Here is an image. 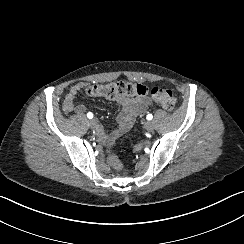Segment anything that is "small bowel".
Instances as JSON below:
<instances>
[{
    "instance_id": "obj_1",
    "label": "small bowel",
    "mask_w": 244,
    "mask_h": 244,
    "mask_svg": "<svg viewBox=\"0 0 244 244\" xmlns=\"http://www.w3.org/2000/svg\"><path fill=\"white\" fill-rule=\"evenodd\" d=\"M85 88L86 83L84 82H78L71 86L63 100V109L66 112L75 111L79 115L85 113L86 106L82 103L75 102L76 96ZM116 103L121 107V111L117 117L119 126L105 137L107 138L108 142H111L127 132L132 127L136 117L147 110L151 104V100L146 97H118L116 98Z\"/></svg>"
}]
</instances>
